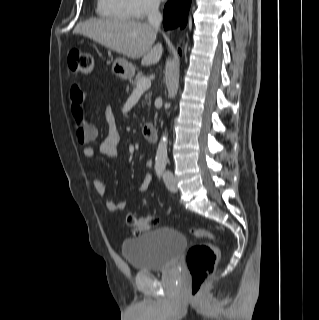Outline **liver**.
<instances>
[{
	"label": "liver",
	"instance_id": "1",
	"mask_svg": "<svg viewBox=\"0 0 319 320\" xmlns=\"http://www.w3.org/2000/svg\"><path fill=\"white\" fill-rule=\"evenodd\" d=\"M73 34L86 36L125 57H142V65L156 64L163 53L161 43L153 46L157 30L150 24L138 21L90 19L79 23Z\"/></svg>",
	"mask_w": 319,
	"mask_h": 320
}]
</instances>
